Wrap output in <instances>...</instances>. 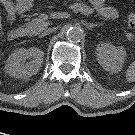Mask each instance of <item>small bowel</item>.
Wrapping results in <instances>:
<instances>
[{
	"instance_id": "c3829d8e",
	"label": "small bowel",
	"mask_w": 135,
	"mask_h": 135,
	"mask_svg": "<svg viewBox=\"0 0 135 135\" xmlns=\"http://www.w3.org/2000/svg\"><path fill=\"white\" fill-rule=\"evenodd\" d=\"M28 0H0V4L7 12L8 22L13 25L15 22L16 13H23L26 10ZM97 11L106 19H115L118 15L115 8L108 5L106 0H92ZM2 21L0 16V35H2Z\"/></svg>"
}]
</instances>
